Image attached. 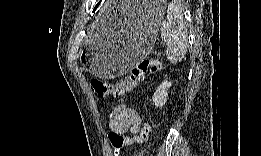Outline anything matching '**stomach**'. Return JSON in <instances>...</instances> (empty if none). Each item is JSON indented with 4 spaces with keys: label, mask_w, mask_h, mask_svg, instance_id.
<instances>
[{
    "label": "stomach",
    "mask_w": 261,
    "mask_h": 156,
    "mask_svg": "<svg viewBox=\"0 0 261 156\" xmlns=\"http://www.w3.org/2000/svg\"><path fill=\"white\" fill-rule=\"evenodd\" d=\"M164 9L155 2L139 4L138 11L127 22L115 24L108 31L98 27L82 61L92 74L112 78L125 74L150 53Z\"/></svg>",
    "instance_id": "1"
}]
</instances>
